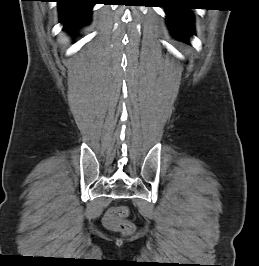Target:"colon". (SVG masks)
<instances>
[{"mask_svg": "<svg viewBox=\"0 0 259 266\" xmlns=\"http://www.w3.org/2000/svg\"><path fill=\"white\" fill-rule=\"evenodd\" d=\"M128 215V207L117 206L107 212L104 223L111 230L117 231L123 235H130L134 232L135 226L127 219Z\"/></svg>", "mask_w": 259, "mask_h": 266, "instance_id": "1", "label": "colon"}]
</instances>
